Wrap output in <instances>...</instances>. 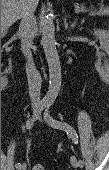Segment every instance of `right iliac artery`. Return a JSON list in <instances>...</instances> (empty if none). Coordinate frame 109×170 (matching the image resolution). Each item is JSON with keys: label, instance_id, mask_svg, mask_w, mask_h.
Segmentation results:
<instances>
[{"label": "right iliac artery", "instance_id": "1", "mask_svg": "<svg viewBox=\"0 0 109 170\" xmlns=\"http://www.w3.org/2000/svg\"><path fill=\"white\" fill-rule=\"evenodd\" d=\"M46 105H47L46 102H41L36 107V110L34 111V115L32 116V118L28 119L27 122H26V127H27L28 130L32 129L38 115L44 110ZM20 165H21L20 163H17L16 168H18Z\"/></svg>", "mask_w": 109, "mask_h": 170}]
</instances>
